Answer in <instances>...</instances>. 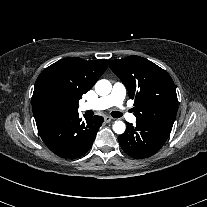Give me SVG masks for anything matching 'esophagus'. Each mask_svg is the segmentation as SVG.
Segmentation results:
<instances>
[{"label": "esophagus", "mask_w": 207, "mask_h": 207, "mask_svg": "<svg viewBox=\"0 0 207 207\" xmlns=\"http://www.w3.org/2000/svg\"><path fill=\"white\" fill-rule=\"evenodd\" d=\"M104 121L105 122H111L112 121V117H110V116H104Z\"/></svg>", "instance_id": "34e87169"}]
</instances>
